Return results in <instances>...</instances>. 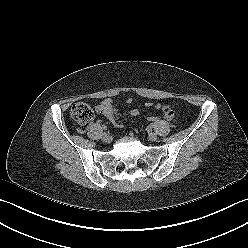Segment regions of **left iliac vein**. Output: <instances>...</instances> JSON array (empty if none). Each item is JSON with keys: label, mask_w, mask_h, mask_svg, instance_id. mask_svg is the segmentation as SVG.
<instances>
[{"label": "left iliac vein", "mask_w": 248, "mask_h": 248, "mask_svg": "<svg viewBox=\"0 0 248 248\" xmlns=\"http://www.w3.org/2000/svg\"><path fill=\"white\" fill-rule=\"evenodd\" d=\"M148 139H149L150 141H157L158 136H157L156 133L151 132V133L148 134Z\"/></svg>", "instance_id": "1"}]
</instances>
